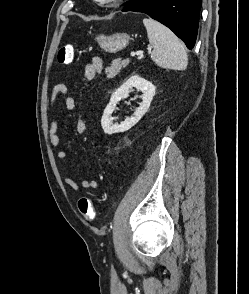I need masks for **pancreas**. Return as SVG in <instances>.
<instances>
[{"label":"pancreas","mask_w":249,"mask_h":294,"mask_svg":"<svg viewBox=\"0 0 249 294\" xmlns=\"http://www.w3.org/2000/svg\"><path fill=\"white\" fill-rule=\"evenodd\" d=\"M129 64V59L121 60L115 59L112 61L111 66L105 68V73L107 74L108 78H114L121 69L125 68Z\"/></svg>","instance_id":"obj_1"}]
</instances>
